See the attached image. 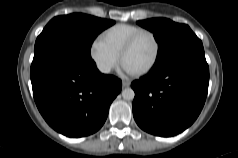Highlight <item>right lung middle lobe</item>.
I'll return each instance as SVG.
<instances>
[{
    "mask_svg": "<svg viewBox=\"0 0 238 158\" xmlns=\"http://www.w3.org/2000/svg\"><path fill=\"white\" fill-rule=\"evenodd\" d=\"M113 20L73 13L53 18L37 37L34 51L48 43H58L75 53L91 58V45L96 36L112 26Z\"/></svg>",
    "mask_w": 238,
    "mask_h": 158,
    "instance_id": "right-lung-middle-lobe-1",
    "label": "right lung middle lobe"
}]
</instances>
